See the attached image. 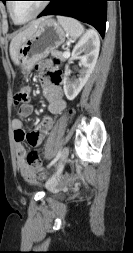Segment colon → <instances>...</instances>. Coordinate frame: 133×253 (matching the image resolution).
Listing matches in <instances>:
<instances>
[{"instance_id":"colon-1","label":"colon","mask_w":133,"mask_h":253,"mask_svg":"<svg viewBox=\"0 0 133 253\" xmlns=\"http://www.w3.org/2000/svg\"><path fill=\"white\" fill-rule=\"evenodd\" d=\"M30 98V90L27 86L23 85L14 95V103L18 106H23L28 104ZM73 114V111L70 112ZM68 125H73V120H68ZM28 164L35 170L36 173L42 171V163L36 152H31L27 156Z\"/></svg>"}]
</instances>
